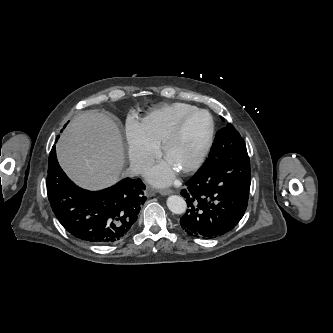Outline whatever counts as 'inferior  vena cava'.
I'll return each instance as SVG.
<instances>
[{
    "label": "inferior vena cava",
    "mask_w": 333,
    "mask_h": 333,
    "mask_svg": "<svg viewBox=\"0 0 333 333\" xmlns=\"http://www.w3.org/2000/svg\"><path fill=\"white\" fill-rule=\"evenodd\" d=\"M145 169L146 166L143 163H140L138 161H132L127 170V175L128 176L139 175L142 174L145 171Z\"/></svg>",
    "instance_id": "1"
}]
</instances>
